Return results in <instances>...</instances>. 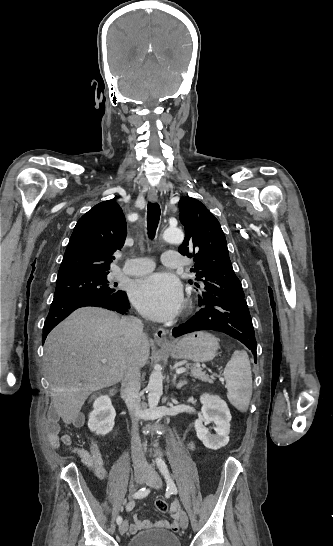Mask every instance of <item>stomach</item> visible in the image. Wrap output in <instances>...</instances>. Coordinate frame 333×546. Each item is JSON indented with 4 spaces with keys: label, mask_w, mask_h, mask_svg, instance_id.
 Returning <instances> with one entry per match:
<instances>
[{
    "label": "stomach",
    "mask_w": 333,
    "mask_h": 546,
    "mask_svg": "<svg viewBox=\"0 0 333 546\" xmlns=\"http://www.w3.org/2000/svg\"><path fill=\"white\" fill-rule=\"evenodd\" d=\"M219 348V340L208 332H195L174 341L165 349L175 359H188L195 362L212 360Z\"/></svg>",
    "instance_id": "obj_1"
}]
</instances>
